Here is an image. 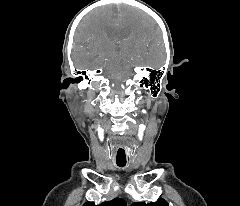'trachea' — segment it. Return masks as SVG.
<instances>
[{
    "label": "trachea",
    "mask_w": 240,
    "mask_h": 206,
    "mask_svg": "<svg viewBox=\"0 0 240 206\" xmlns=\"http://www.w3.org/2000/svg\"><path fill=\"white\" fill-rule=\"evenodd\" d=\"M118 166L123 167L126 165V163H117Z\"/></svg>",
    "instance_id": "trachea-1"
}]
</instances>
